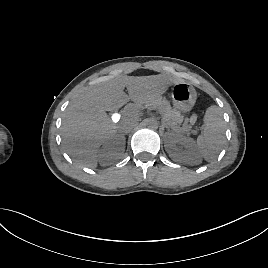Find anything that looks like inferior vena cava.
Masks as SVG:
<instances>
[{"label":"inferior vena cava","instance_id":"1","mask_svg":"<svg viewBox=\"0 0 268 268\" xmlns=\"http://www.w3.org/2000/svg\"><path fill=\"white\" fill-rule=\"evenodd\" d=\"M138 118L135 116H130L124 118L118 125V130L121 133H129L137 124Z\"/></svg>","mask_w":268,"mask_h":268}]
</instances>
